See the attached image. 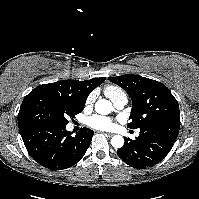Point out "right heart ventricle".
Returning <instances> with one entry per match:
<instances>
[{
    "instance_id": "obj_1",
    "label": "right heart ventricle",
    "mask_w": 199,
    "mask_h": 199,
    "mask_svg": "<svg viewBox=\"0 0 199 199\" xmlns=\"http://www.w3.org/2000/svg\"><path fill=\"white\" fill-rule=\"evenodd\" d=\"M108 89H113L115 91H120V89L116 88V87H108Z\"/></svg>"
}]
</instances>
